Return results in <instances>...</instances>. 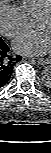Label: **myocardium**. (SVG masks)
Listing matches in <instances>:
<instances>
[{"label": "myocardium", "mask_w": 51, "mask_h": 153, "mask_svg": "<svg viewBox=\"0 0 51 153\" xmlns=\"http://www.w3.org/2000/svg\"><path fill=\"white\" fill-rule=\"evenodd\" d=\"M44 17H49L51 18V5L47 7L46 9L42 10L39 12L34 19H39V18H44Z\"/></svg>", "instance_id": "1"}]
</instances>
